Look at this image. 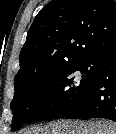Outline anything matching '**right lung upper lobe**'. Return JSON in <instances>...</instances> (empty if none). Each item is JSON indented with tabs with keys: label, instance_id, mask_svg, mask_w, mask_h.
Wrapping results in <instances>:
<instances>
[{
	"label": "right lung upper lobe",
	"instance_id": "1",
	"mask_svg": "<svg viewBox=\"0 0 116 134\" xmlns=\"http://www.w3.org/2000/svg\"><path fill=\"white\" fill-rule=\"evenodd\" d=\"M114 47V0H52L28 30L14 79L15 94L73 64L94 62Z\"/></svg>",
	"mask_w": 116,
	"mask_h": 134
}]
</instances>
